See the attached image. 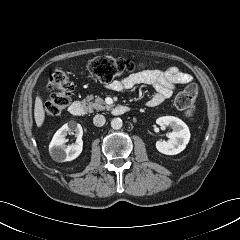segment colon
Instances as JSON below:
<instances>
[{
  "label": "colon",
  "instance_id": "5ec220e1",
  "mask_svg": "<svg viewBox=\"0 0 240 240\" xmlns=\"http://www.w3.org/2000/svg\"><path fill=\"white\" fill-rule=\"evenodd\" d=\"M141 68L140 64L132 60L107 56L96 57L88 64V70L93 79L106 84L111 83L117 77L132 74ZM48 88L54 91V94L45 104V114L49 117L58 116L71 101L74 84L64 71L55 70L49 76ZM197 96L198 87L190 84L175 99L177 108L183 111L189 119L194 117Z\"/></svg>",
  "mask_w": 240,
  "mask_h": 240
}]
</instances>
